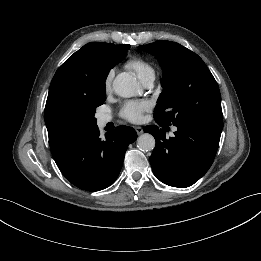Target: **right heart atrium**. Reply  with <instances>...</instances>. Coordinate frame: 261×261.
Segmentation results:
<instances>
[{
    "label": "right heart atrium",
    "instance_id": "1",
    "mask_svg": "<svg viewBox=\"0 0 261 261\" xmlns=\"http://www.w3.org/2000/svg\"><path fill=\"white\" fill-rule=\"evenodd\" d=\"M113 77H114V71L109 70L104 79V87L107 91L111 88Z\"/></svg>",
    "mask_w": 261,
    "mask_h": 261
}]
</instances>
